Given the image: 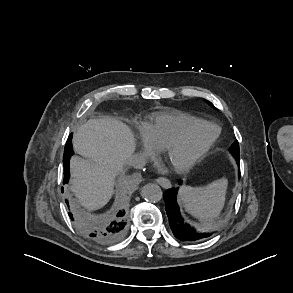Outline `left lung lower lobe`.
<instances>
[{
	"label": "left lung lower lobe",
	"mask_w": 293,
	"mask_h": 293,
	"mask_svg": "<svg viewBox=\"0 0 293 293\" xmlns=\"http://www.w3.org/2000/svg\"><path fill=\"white\" fill-rule=\"evenodd\" d=\"M236 161L239 166L240 160L236 159ZM177 193L178 188H172L167 190L163 195L164 201L166 203V212L169 218L170 227L174 236L181 241H196L211 236L212 233L196 232L190 225L184 222L177 204Z\"/></svg>",
	"instance_id": "left-lung-lower-lobe-1"
}]
</instances>
